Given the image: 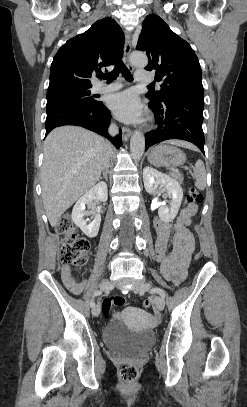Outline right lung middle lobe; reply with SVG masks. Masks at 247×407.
I'll return each mask as SVG.
<instances>
[{
    "instance_id": "1",
    "label": "right lung middle lobe",
    "mask_w": 247,
    "mask_h": 407,
    "mask_svg": "<svg viewBox=\"0 0 247 407\" xmlns=\"http://www.w3.org/2000/svg\"><path fill=\"white\" fill-rule=\"evenodd\" d=\"M91 87L65 86L47 91L46 109L65 105L93 106L98 103L91 96Z\"/></svg>"
}]
</instances>
